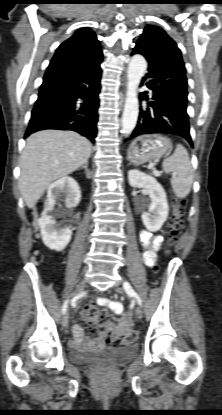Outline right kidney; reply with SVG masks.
I'll return each mask as SVG.
<instances>
[{
	"instance_id": "1",
	"label": "right kidney",
	"mask_w": 222,
	"mask_h": 415,
	"mask_svg": "<svg viewBox=\"0 0 222 415\" xmlns=\"http://www.w3.org/2000/svg\"><path fill=\"white\" fill-rule=\"evenodd\" d=\"M47 201L38 223L44 244L56 251H62L70 242L71 226L61 227L56 218L65 215L62 210H55L57 200L64 201L67 209L76 207L81 200L78 183L72 177H63L48 187ZM61 206V205H60Z\"/></svg>"
}]
</instances>
